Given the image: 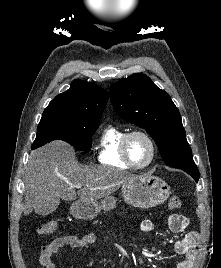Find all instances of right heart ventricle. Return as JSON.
Segmentation results:
<instances>
[{"label": "right heart ventricle", "mask_w": 221, "mask_h": 268, "mask_svg": "<svg viewBox=\"0 0 221 268\" xmlns=\"http://www.w3.org/2000/svg\"><path fill=\"white\" fill-rule=\"evenodd\" d=\"M127 131L115 125L107 126L99 139L98 160L105 165L121 169L130 168L121 155V141Z\"/></svg>", "instance_id": "e07e8e85"}]
</instances>
